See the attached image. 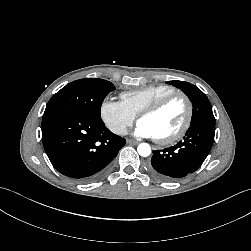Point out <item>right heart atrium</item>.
Here are the masks:
<instances>
[{"label":"right heart atrium","instance_id":"d8ad5b80","mask_svg":"<svg viewBox=\"0 0 251 251\" xmlns=\"http://www.w3.org/2000/svg\"><path fill=\"white\" fill-rule=\"evenodd\" d=\"M100 117L106 127L116 135L122 136L133 125L135 116L121 101L106 98L100 105Z\"/></svg>","mask_w":251,"mask_h":251}]
</instances>
